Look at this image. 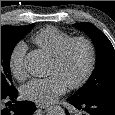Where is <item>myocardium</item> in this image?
I'll return each instance as SVG.
<instances>
[{"label":"myocardium","mask_w":115,"mask_h":115,"mask_svg":"<svg viewBox=\"0 0 115 115\" xmlns=\"http://www.w3.org/2000/svg\"><path fill=\"white\" fill-rule=\"evenodd\" d=\"M78 44L84 45L86 47L88 51L89 61H88L87 69L83 74V76L79 80L68 84V87L70 89H78L82 87L85 83H87V81L92 76L97 62V54H96V48L94 43L87 37H83V36L73 37L61 48L59 53L55 57H53V62L56 65L58 66L63 65L72 48Z\"/></svg>","instance_id":"1"}]
</instances>
